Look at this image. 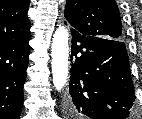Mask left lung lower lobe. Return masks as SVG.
<instances>
[{
  "label": "left lung lower lobe",
  "instance_id": "left-lung-lower-lobe-1",
  "mask_svg": "<svg viewBox=\"0 0 142 119\" xmlns=\"http://www.w3.org/2000/svg\"><path fill=\"white\" fill-rule=\"evenodd\" d=\"M69 104L91 119H126L135 101L129 58L119 40L85 36L71 28Z\"/></svg>",
  "mask_w": 142,
  "mask_h": 119
}]
</instances>
